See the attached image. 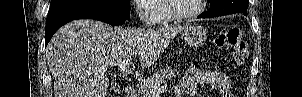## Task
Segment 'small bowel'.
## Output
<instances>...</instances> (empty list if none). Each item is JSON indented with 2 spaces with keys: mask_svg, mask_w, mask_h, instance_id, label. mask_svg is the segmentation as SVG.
Returning a JSON list of instances; mask_svg holds the SVG:
<instances>
[{
  "mask_svg": "<svg viewBox=\"0 0 302 97\" xmlns=\"http://www.w3.org/2000/svg\"><path fill=\"white\" fill-rule=\"evenodd\" d=\"M199 86L214 88L219 97H235L231 89V81L225 73L203 70L196 66L188 68L177 84L176 97H181L183 94L194 96Z\"/></svg>",
  "mask_w": 302,
  "mask_h": 97,
  "instance_id": "small-bowel-1",
  "label": "small bowel"
}]
</instances>
